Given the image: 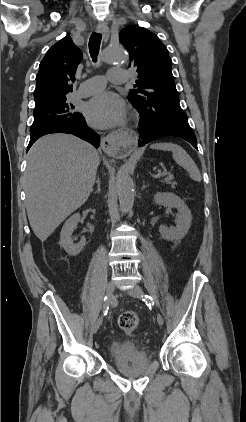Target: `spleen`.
I'll return each mask as SVG.
<instances>
[{"instance_id": "spleen-1", "label": "spleen", "mask_w": 246, "mask_h": 422, "mask_svg": "<svg viewBox=\"0 0 246 422\" xmlns=\"http://www.w3.org/2000/svg\"><path fill=\"white\" fill-rule=\"evenodd\" d=\"M150 147L157 150L171 151L173 159L189 173L191 179L197 182L202 180L197 165L181 146L173 143H155Z\"/></svg>"}]
</instances>
